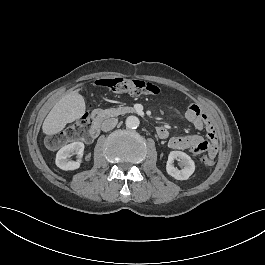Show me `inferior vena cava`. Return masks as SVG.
Instances as JSON below:
<instances>
[{
	"mask_svg": "<svg viewBox=\"0 0 265 265\" xmlns=\"http://www.w3.org/2000/svg\"><path fill=\"white\" fill-rule=\"evenodd\" d=\"M117 123V118H108L102 122L101 129L102 131H110L117 125Z\"/></svg>",
	"mask_w": 265,
	"mask_h": 265,
	"instance_id": "inferior-vena-cava-1",
	"label": "inferior vena cava"
}]
</instances>
